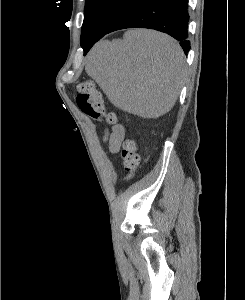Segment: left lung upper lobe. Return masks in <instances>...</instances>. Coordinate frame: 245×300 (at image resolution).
<instances>
[{"mask_svg": "<svg viewBox=\"0 0 245 300\" xmlns=\"http://www.w3.org/2000/svg\"><path fill=\"white\" fill-rule=\"evenodd\" d=\"M137 0H86L81 31V46H87L89 35L103 34L129 6Z\"/></svg>", "mask_w": 245, "mask_h": 300, "instance_id": "1", "label": "left lung upper lobe"}]
</instances>
